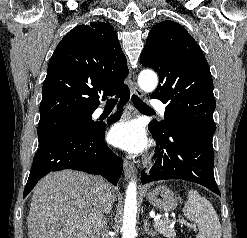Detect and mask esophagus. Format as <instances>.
Wrapping results in <instances>:
<instances>
[{
	"instance_id": "esophagus-1",
	"label": "esophagus",
	"mask_w": 247,
	"mask_h": 238,
	"mask_svg": "<svg viewBox=\"0 0 247 238\" xmlns=\"http://www.w3.org/2000/svg\"><path fill=\"white\" fill-rule=\"evenodd\" d=\"M132 93L139 97L143 96L141 89L137 86L135 81L133 83ZM123 170H124V175L127 179H129L134 174L133 164L128 160H124Z\"/></svg>"
}]
</instances>
